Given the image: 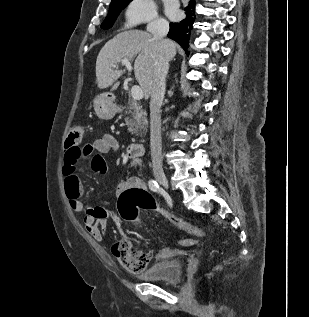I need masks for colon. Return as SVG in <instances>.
<instances>
[{"label":"colon","instance_id":"obj_1","mask_svg":"<svg viewBox=\"0 0 309 317\" xmlns=\"http://www.w3.org/2000/svg\"><path fill=\"white\" fill-rule=\"evenodd\" d=\"M82 137L83 127L79 124L73 125L66 141L65 160L68 164L77 162L89 152V145L81 146ZM118 209L121 217L127 221L136 220L140 210H153L161 213L171 224L191 235L196 237L208 235L204 229L159 208L154 198L143 189L135 188L123 192L118 200ZM178 244L184 247H192L196 244V240L191 238L181 239ZM112 252L120 265L132 273L143 271L152 256L145 243L129 236H124L117 241L112 247Z\"/></svg>","mask_w":309,"mask_h":317}]
</instances>
